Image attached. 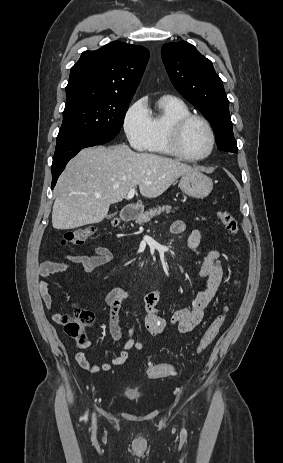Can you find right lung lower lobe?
<instances>
[{
	"label": "right lung lower lobe",
	"instance_id": "right-lung-lower-lobe-1",
	"mask_svg": "<svg viewBox=\"0 0 283 463\" xmlns=\"http://www.w3.org/2000/svg\"><path fill=\"white\" fill-rule=\"evenodd\" d=\"M114 137L115 136L111 135H90L81 136L57 143L52 163V189L54 188L57 179L61 172L64 170L67 162L73 158L81 149L107 143Z\"/></svg>",
	"mask_w": 283,
	"mask_h": 463
}]
</instances>
